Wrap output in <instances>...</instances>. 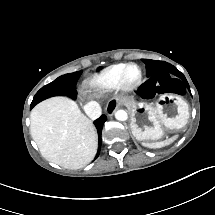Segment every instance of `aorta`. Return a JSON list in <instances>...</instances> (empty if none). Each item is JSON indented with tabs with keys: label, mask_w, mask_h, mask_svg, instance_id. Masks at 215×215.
Wrapping results in <instances>:
<instances>
[{
	"label": "aorta",
	"mask_w": 215,
	"mask_h": 215,
	"mask_svg": "<svg viewBox=\"0 0 215 215\" xmlns=\"http://www.w3.org/2000/svg\"><path fill=\"white\" fill-rule=\"evenodd\" d=\"M114 115H115V118L117 120H120V121H123V120L127 119V113L123 109L116 110L115 113H114Z\"/></svg>",
	"instance_id": "762f6f07"
}]
</instances>
